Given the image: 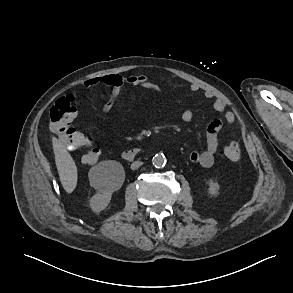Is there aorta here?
<instances>
[{"label": "aorta", "mask_w": 293, "mask_h": 293, "mask_svg": "<svg viewBox=\"0 0 293 293\" xmlns=\"http://www.w3.org/2000/svg\"><path fill=\"white\" fill-rule=\"evenodd\" d=\"M152 164L156 168L164 167L165 164H166V158H165V156L163 154H156L152 158Z\"/></svg>", "instance_id": "1"}]
</instances>
